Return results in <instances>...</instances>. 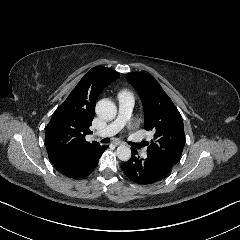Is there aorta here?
Here are the masks:
<instances>
[{"label": "aorta", "mask_w": 240, "mask_h": 240, "mask_svg": "<svg viewBox=\"0 0 240 240\" xmlns=\"http://www.w3.org/2000/svg\"><path fill=\"white\" fill-rule=\"evenodd\" d=\"M115 104L107 99L103 98L96 103L95 112L96 115L103 120H111L116 115ZM117 156L120 160L126 161L131 157V149L126 145H120L116 150Z\"/></svg>", "instance_id": "aorta-1"}]
</instances>
